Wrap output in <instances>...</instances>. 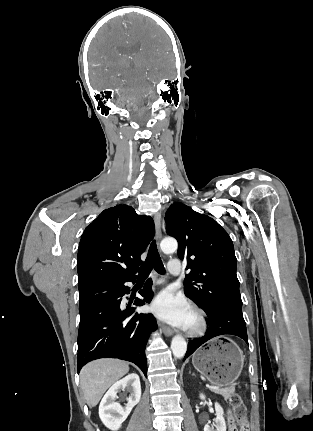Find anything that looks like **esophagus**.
<instances>
[{"instance_id": "34e87169", "label": "esophagus", "mask_w": 313, "mask_h": 431, "mask_svg": "<svg viewBox=\"0 0 313 431\" xmlns=\"http://www.w3.org/2000/svg\"><path fill=\"white\" fill-rule=\"evenodd\" d=\"M154 223H155V228H156V238L159 241L162 237L160 213L155 214ZM161 329L166 336H172L173 335V330L170 327H168L164 324H161Z\"/></svg>"}]
</instances>
